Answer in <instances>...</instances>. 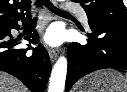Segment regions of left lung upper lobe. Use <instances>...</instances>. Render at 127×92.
Masks as SVG:
<instances>
[{
    "label": "left lung upper lobe",
    "mask_w": 127,
    "mask_h": 92,
    "mask_svg": "<svg viewBox=\"0 0 127 92\" xmlns=\"http://www.w3.org/2000/svg\"><path fill=\"white\" fill-rule=\"evenodd\" d=\"M81 3L88 20H110L127 22V11L123 0H72Z\"/></svg>",
    "instance_id": "5c2ea615"
}]
</instances>
